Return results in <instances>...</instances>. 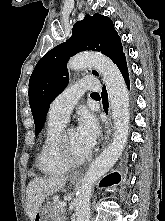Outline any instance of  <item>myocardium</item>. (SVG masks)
<instances>
[{
	"instance_id": "1",
	"label": "myocardium",
	"mask_w": 165,
	"mask_h": 221,
	"mask_svg": "<svg viewBox=\"0 0 165 221\" xmlns=\"http://www.w3.org/2000/svg\"><path fill=\"white\" fill-rule=\"evenodd\" d=\"M72 127L63 128L60 132L57 140V153L60 160L70 167H76L87 162L92 156V150L90 149L83 157L76 158L70 151L68 145V132Z\"/></svg>"
}]
</instances>
